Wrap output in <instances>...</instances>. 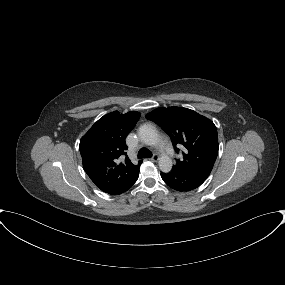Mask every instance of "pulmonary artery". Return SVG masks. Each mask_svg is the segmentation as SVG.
<instances>
[{
	"mask_svg": "<svg viewBox=\"0 0 285 285\" xmlns=\"http://www.w3.org/2000/svg\"><path fill=\"white\" fill-rule=\"evenodd\" d=\"M162 143H163L164 146L166 147L167 152H168V153H171L172 150H171V148H170L169 145H168L169 142H168L167 137H165V136L162 137Z\"/></svg>",
	"mask_w": 285,
	"mask_h": 285,
	"instance_id": "e3ab8cb5",
	"label": "pulmonary artery"
}]
</instances>
